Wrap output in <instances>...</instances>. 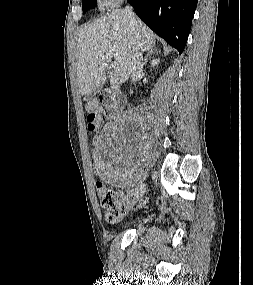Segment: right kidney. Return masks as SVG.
<instances>
[{
  "label": "right kidney",
  "instance_id": "obj_1",
  "mask_svg": "<svg viewBox=\"0 0 253 285\" xmlns=\"http://www.w3.org/2000/svg\"><path fill=\"white\" fill-rule=\"evenodd\" d=\"M160 63V59H154L152 62H151V67H155L156 65H158Z\"/></svg>",
  "mask_w": 253,
  "mask_h": 285
}]
</instances>
